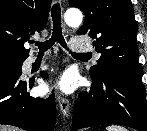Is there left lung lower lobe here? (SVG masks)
<instances>
[{"mask_svg": "<svg viewBox=\"0 0 147 131\" xmlns=\"http://www.w3.org/2000/svg\"><path fill=\"white\" fill-rule=\"evenodd\" d=\"M92 79L90 91L78 96L72 131L103 124H120L147 131L143 83L115 74Z\"/></svg>", "mask_w": 147, "mask_h": 131, "instance_id": "obj_1", "label": "left lung lower lobe"}]
</instances>
